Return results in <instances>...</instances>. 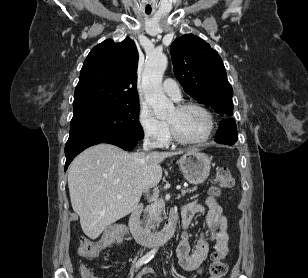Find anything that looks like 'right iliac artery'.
<instances>
[{"label":"right iliac artery","instance_id":"1","mask_svg":"<svg viewBox=\"0 0 308 278\" xmlns=\"http://www.w3.org/2000/svg\"><path fill=\"white\" fill-rule=\"evenodd\" d=\"M157 250L156 249H153L151 251H149L146 255H144L142 258H140L135 267L136 268H139L140 266H142L143 264H146L147 262H149L153 257L154 255L156 254Z\"/></svg>","mask_w":308,"mask_h":278}]
</instances>
